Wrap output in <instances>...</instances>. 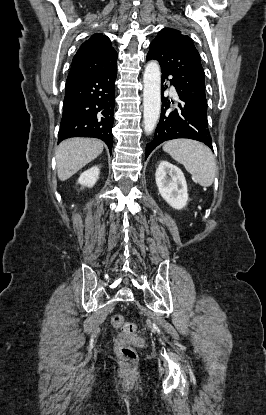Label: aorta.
Masks as SVG:
<instances>
[{"label": "aorta", "mask_w": 266, "mask_h": 415, "mask_svg": "<svg viewBox=\"0 0 266 415\" xmlns=\"http://www.w3.org/2000/svg\"><path fill=\"white\" fill-rule=\"evenodd\" d=\"M144 131L151 134L156 127L161 110V71L156 61L147 63L143 75Z\"/></svg>", "instance_id": "aorta-1"}]
</instances>
